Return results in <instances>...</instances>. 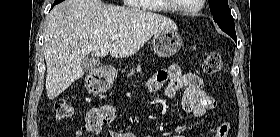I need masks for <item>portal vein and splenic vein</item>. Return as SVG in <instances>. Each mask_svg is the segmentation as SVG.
<instances>
[{
  "instance_id": "18ae733b",
  "label": "portal vein and splenic vein",
  "mask_w": 280,
  "mask_h": 137,
  "mask_svg": "<svg viewBox=\"0 0 280 137\" xmlns=\"http://www.w3.org/2000/svg\"><path fill=\"white\" fill-rule=\"evenodd\" d=\"M117 39H119V35L116 34L112 36V40H117Z\"/></svg>"
}]
</instances>
